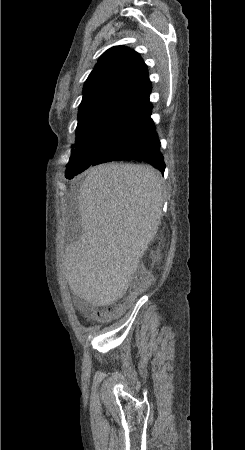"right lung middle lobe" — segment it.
Wrapping results in <instances>:
<instances>
[{
  "mask_svg": "<svg viewBox=\"0 0 245 450\" xmlns=\"http://www.w3.org/2000/svg\"><path fill=\"white\" fill-rule=\"evenodd\" d=\"M142 113L117 107H92L79 112L76 149L72 152L65 177L87 169L102 153L111 152L133 133Z\"/></svg>",
  "mask_w": 245,
  "mask_h": 450,
  "instance_id": "1",
  "label": "right lung middle lobe"
}]
</instances>
